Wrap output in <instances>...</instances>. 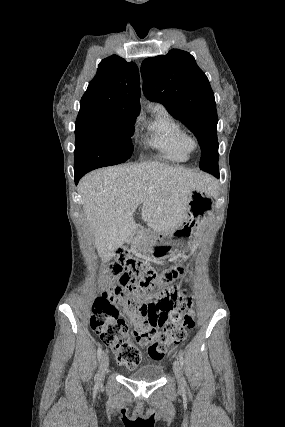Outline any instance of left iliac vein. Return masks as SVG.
<instances>
[{"mask_svg":"<svg viewBox=\"0 0 285 427\" xmlns=\"http://www.w3.org/2000/svg\"><path fill=\"white\" fill-rule=\"evenodd\" d=\"M173 371L174 374L177 378V381L179 384H182V379H181V368H180V364L178 361H174L173 363Z\"/></svg>","mask_w":285,"mask_h":427,"instance_id":"left-iliac-vein-1","label":"left iliac vein"}]
</instances>
